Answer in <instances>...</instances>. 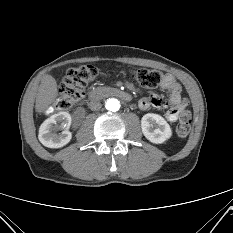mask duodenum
<instances>
[{
    "mask_svg": "<svg viewBox=\"0 0 233 233\" xmlns=\"http://www.w3.org/2000/svg\"><path fill=\"white\" fill-rule=\"evenodd\" d=\"M113 96L120 98L124 101H130L132 99L131 95L128 92H125L121 89H94L88 93V100L94 101L102 97Z\"/></svg>",
    "mask_w": 233,
    "mask_h": 233,
    "instance_id": "1",
    "label": "duodenum"
}]
</instances>
